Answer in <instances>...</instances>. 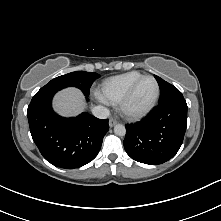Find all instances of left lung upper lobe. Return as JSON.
<instances>
[{
    "label": "left lung upper lobe",
    "instance_id": "5c2ea615",
    "mask_svg": "<svg viewBox=\"0 0 221 221\" xmlns=\"http://www.w3.org/2000/svg\"><path fill=\"white\" fill-rule=\"evenodd\" d=\"M160 87V99L159 104L174 100V99H184L182 93L170 83L164 81L158 76H154Z\"/></svg>",
    "mask_w": 221,
    "mask_h": 221
}]
</instances>
